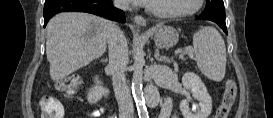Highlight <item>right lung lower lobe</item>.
<instances>
[{"label": "right lung lower lobe", "instance_id": "1", "mask_svg": "<svg viewBox=\"0 0 273 118\" xmlns=\"http://www.w3.org/2000/svg\"><path fill=\"white\" fill-rule=\"evenodd\" d=\"M87 12L110 20L125 22L123 11L115 8L111 0H46L44 4V27L51 17L60 12Z\"/></svg>", "mask_w": 273, "mask_h": 118}]
</instances>
